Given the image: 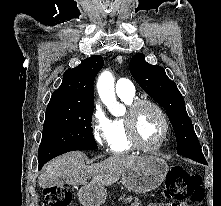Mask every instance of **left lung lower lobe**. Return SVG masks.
<instances>
[{
    "label": "left lung lower lobe",
    "instance_id": "0a47b994",
    "mask_svg": "<svg viewBox=\"0 0 221 206\" xmlns=\"http://www.w3.org/2000/svg\"><path fill=\"white\" fill-rule=\"evenodd\" d=\"M195 161L206 164V160L205 158H201V159H196Z\"/></svg>",
    "mask_w": 221,
    "mask_h": 206
}]
</instances>
